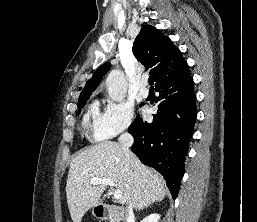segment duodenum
<instances>
[{"label":"duodenum","mask_w":257,"mask_h":222,"mask_svg":"<svg viewBox=\"0 0 257 222\" xmlns=\"http://www.w3.org/2000/svg\"><path fill=\"white\" fill-rule=\"evenodd\" d=\"M95 214L101 219L111 216L119 219V221L125 217L123 209L119 205L100 204L96 207Z\"/></svg>","instance_id":"duodenum-1"}]
</instances>
